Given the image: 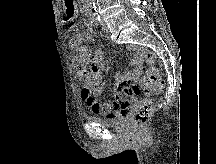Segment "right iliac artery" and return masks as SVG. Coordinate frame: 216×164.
Instances as JSON below:
<instances>
[{
  "instance_id": "right-iliac-artery-1",
  "label": "right iliac artery",
  "mask_w": 216,
  "mask_h": 164,
  "mask_svg": "<svg viewBox=\"0 0 216 164\" xmlns=\"http://www.w3.org/2000/svg\"><path fill=\"white\" fill-rule=\"evenodd\" d=\"M90 22H91V24L92 25H98V23L100 22V18L98 17V18H92V19H90Z\"/></svg>"
}]
</instances>
